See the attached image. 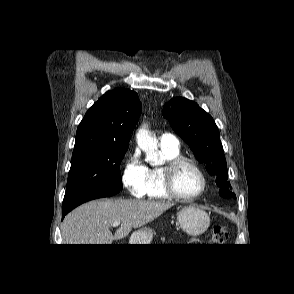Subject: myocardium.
I'll return each instance as SVG.
<instances>
[{
	"label": "myocardium",
	"instance_id": "1",
	"mask_svg": "<svg viewBox=\"0 0 294 294\" xmlns=\"http://www.w3.org/2000/svg\"><path fill=\"white\" fill-rule=\"evenodd\" d=\"M184 165L191 166L198 173L202 181V186L200 190L191 196H185L179 193L175 186L176 174L178 170ZM163 175H164V188L166 192L169 194L170 197L177 200H181V201L196 200L205 192L207 188V178L204 171L198 165V163L191 158L178 156L176 158H173L167 161L163 168Z\"/></svg>",
	"mask_w": 294,
	"mask_h": 294
}]
</instances>
